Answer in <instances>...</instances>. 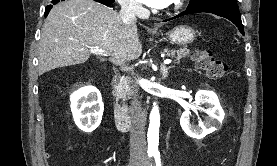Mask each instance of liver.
<instances>
[{"label":"liver","mask_w":277,"mask_h":166,"mask_svg":"<svg viewBox=\"0 0 277 166\" xmlns=\"http://www.w3.org/2000/svg\"><path fill=\"white\" fill-rule=\"evenodd\" d=\"M97 48L110 61L122 64L137 59L142 45L135 23L124 24L120 14L93 0H66L55 5L42 28L38 73L82 64ZM100 61H105L100 58Z\"/></svg>","instance_id":"liver-1"}]
</instances>
